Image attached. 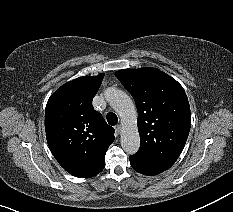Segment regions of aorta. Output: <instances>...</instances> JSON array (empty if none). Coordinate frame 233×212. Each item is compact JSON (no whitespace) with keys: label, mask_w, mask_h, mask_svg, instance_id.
<instances>
[{"label":"aorta","mask_w":233,"mask_h":212,"mask_svg":"<svg viewBox=\"0 0 233 212\" xmlns=\"http://www.w3.org/2000/svg\"><path fill=\"white\" fill-rule=\"evenodd\" d=\"M104 96L121 118L123 150L128 154H135L140 147V136L137 129V111L133 101L125 92L114 87L107 88Z\"/></svg>","instance_id":"obj_1"}]
</instances>
